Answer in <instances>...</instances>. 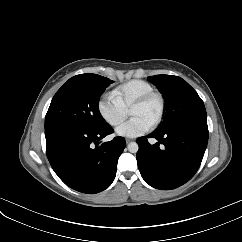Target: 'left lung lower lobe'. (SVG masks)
I'll use <instances>...</instances> for the list:
<instances>
[{"label":"left lung lower lobe","instance_id":"0a47b994","mask_svg":"<svg viewBox=\"0 0 242 242\" xmlns=\"http://www.w3.org/2000/svg\"><path fill=\"white\" fill-rule=\"evenodd\" d=\"M205 120L183 122L163 131H154L136 141L138 168L143 179L152 187L175 189L189 181L197 172L208 142ZM156 138L151 145L147 138ZM160 144L164 148H160Z\"/></svg>","mask_w":242,"mask_h":242}]
</instances>
